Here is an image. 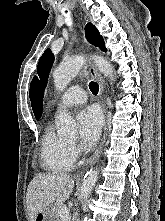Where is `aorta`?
<instances>
[{
	"label": "aorta",
	"mask_w": 165,
	"mask_h": 221,
	"mask_svg": "<svg viewBox=\"0 0 165 221\" xmlns=\"http://www.w3.org/2000/svg\"><path fill=\"white\" fill-rule=\"evenodd\" d=\"M94 62L97 64L98 69L106 77L110 79L114 78L113 67L108 60L101 56L93 57ZM85 62L84 57L76 56L71 59L63 61L53 72V80L55 87L59 90H63L67 87L69 82L77 75V73L83 67ZM58 130L61 134L69 135L77 132V125L71 115L67 112H63L58 117ZM98 179V171H88L83 179L80 198L87 199L95 183Z\"/></svg>",
	"instance_id": "obj_1"
}]
</instances>
